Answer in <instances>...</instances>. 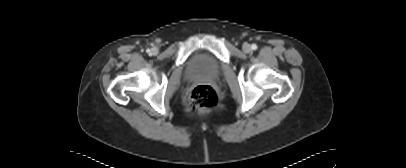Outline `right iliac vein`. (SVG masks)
Returning <instances> with one entry per match:
<instances>
[{"mask_svg": "<svg viewBox=\"0 0 406 168\" xmlns=\"http://www.w3.org/2000/svg\"><path fill=\"white\" fill-rule=\"evenodd\" d=\"M157 52H158L157 48H152V49H151V53H152L153 55H156Z\"/></svg>", "mask_w": 406, "mask_h": 168, "instance_id": "right-iliac-vein-1", "label": "right iliac vein"}]
</instances>
